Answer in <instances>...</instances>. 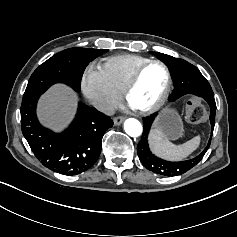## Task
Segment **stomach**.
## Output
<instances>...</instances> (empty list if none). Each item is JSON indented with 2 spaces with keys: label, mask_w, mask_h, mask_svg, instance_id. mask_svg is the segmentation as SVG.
Here are the masks:
<instances>
[{
  "label": "stomach",
  "mask_w": 237,
  "mask_h": 237,
  "mask_svg": "<svg viewBox=\"0 0 237 237\" xmlns=\"http://www.w3.org/2000/svg\"><path fill=\"white\" fill-rule=\"evenodd\" d=\"M154 128L161 130L168 139L176 140L183 136V123L177 111L165 108L156 118Z\"/></svg>",
  "instance_id": "0dacf381"
}]
</instances>
